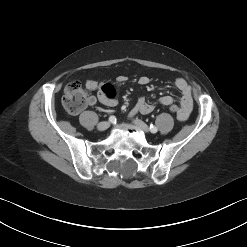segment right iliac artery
<instances>
[{"label": "right iliac artery", "mask_w": 247, "mask_h": 247, "mask_svg": "<svg viewBox=\"0 0 247 247\" xmlns=\"http://www.w3.org/2000/svg\"><path fill=\"white\" fill-rule=\"evenodd\" d=\"M109 121L112 122V123L116 122L115 116H110L109 117Z\"/></svg>", "instance_id": "obj_1"}]
</instances>
